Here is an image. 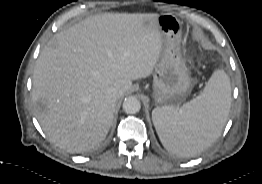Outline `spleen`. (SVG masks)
<instances>
[{
    "instance_id": "3e777b00",
    "label": "spleen",
    "mask_w": 262,
    "mask_h": 184,
    "mask_svg": "<svg viewBox=\"0 0 262 184\" xmlns=\"http://www.w3.org/2000/svg\"><path fill=\"white\" fill-rule=\"evenodd\" d=\"M231 107V84L216 70L203 91L180 109L168 105L152 111V121L166 150L180 156L196 155L221 135Z\"/></svg>"
}]
</instances>
